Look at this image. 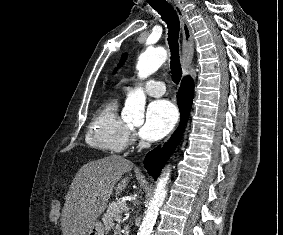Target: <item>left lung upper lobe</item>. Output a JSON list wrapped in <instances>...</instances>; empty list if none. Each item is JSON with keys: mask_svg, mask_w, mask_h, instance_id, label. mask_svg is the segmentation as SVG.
Listing matches in <instances>:
<instances>
[{"mask_svg": "<svg viewBox=\"0 0 283 235\" xmlns=\"http://www.w3.org/2000/svg\"><path fill=\"white\" fill-rule=\"evenodd\" d=\"M125 59H126V55H125V54H123V55H122V58H121L120 65H121V64H123V62L125 61Z\"/></svg>", "mask_w": 283, "mask_h": 235, "instance_id": "1", "label": "left lung upper lobe"}]
</instances>
